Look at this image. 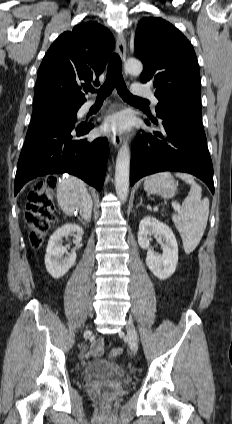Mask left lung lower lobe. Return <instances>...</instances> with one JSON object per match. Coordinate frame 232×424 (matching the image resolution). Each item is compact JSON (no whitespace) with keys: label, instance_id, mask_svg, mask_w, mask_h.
<instances>
[{"label":"left lung lower lobe","instance_id":"1","mask_svg":"<svg viewBox=\"0 0 232 424\" xmlns=\"http://www.w3.org/2000/svg\"><path fill=\"white\" fill-rule=\"evenodd\" d=\"M163 131L143 132L131 154L130 184L161 171H181L203 180L214 194L213 166L202 125L201 104L176 101L157 107ZM153 124L157 120L151 117ZM149 125V121L146 120Z\"/></svg>","mask_w":232,"mask_h":424}]
</instances>
